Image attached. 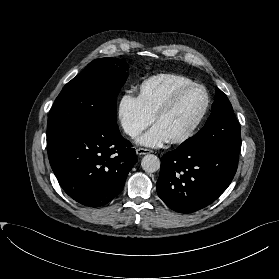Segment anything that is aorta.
Returning a JSON list of instances; mask_svg holds the SVG:
<instances>
[{
    "instance_id": "obj_1",
    "label": "aorta",
    "mask_w": 279,
    "mask_h": 279,
    "mask_svg": "<svg viewBox=\"0 0 279 279\" xmlns=\"http://www.w3.org/2000/svg\"><path fill=\"white\" fill-rule=\"evenodd\" d=\"M141 166L145 172L154 173L160 169V159L153 154H147L142 158Z\"/></svg>"
}]
</instances>
